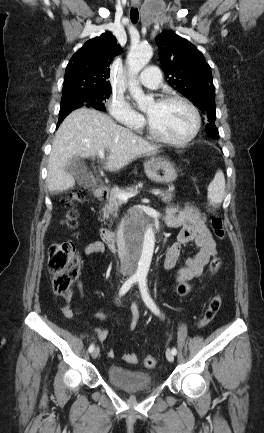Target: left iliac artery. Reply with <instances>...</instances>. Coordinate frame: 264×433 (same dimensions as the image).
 Here are the masks:
<instances>
[{"instance_id": "obj_1", "label": "left iliac artery", "mask_w": 264, "mask_h": 433, "mask_svg": "<svg viewBox=\"0 0 264 433\" xmlns=\"http://www.w3.org/2000/svg\"><path fill=\"white\" fill-rule=\"evenodd\" d=\"M138 283H139V288H140L141 295H142V298H143L145 304L156 315H160V311H159L158 307L156 306V304L154 303V301L152 300V298L150 297V295L148 293L146 278H144V277L139 278ZM172 353H173V355L177 354L176 348H172Z\"/></svg>"}]
</instances>
